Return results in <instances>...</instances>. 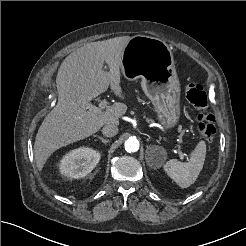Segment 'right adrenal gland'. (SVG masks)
I'll return each instance as SVG.
<instances>
[{
    "mask_svg": "<svg viewBox=\"0 0 246 246\" xmlns=\"http://www.w3.org/2000/svg\"><path fill=\"white\" fill-rule=\"evenodd\" d=\"M94 137L100 139L103 143H108V142H109V139H105V138H103L102 136L94 135Z\"/></svg>",
    "mask_w": 246,
    "mask_h": 246,
    "instance_id": "right-adrenal-gland-1",
    "label": "right adrenal gland"
}]
</instances>
